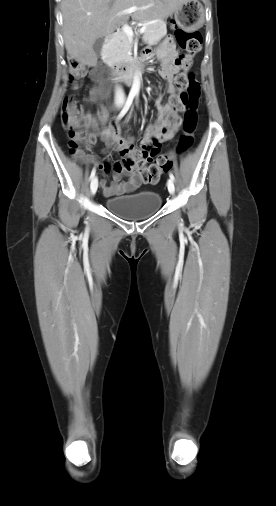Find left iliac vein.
Segmentation results:
<instances>
[{"instance_id":"left-iliac-vein-1","label":"left iliac vein","mask_w":276,"mask_h":506,"mask_svg":"<svg viewBox=\"0 0 276 506\" xmlns=\"http://www.w3.org/2000/svg\"><path fill=\"white\" fill-rule=\"evenodd\" d=\"M167 187H168L169 193L170 194H174V192H175V186H174V183H173V181L171 179L168 180Z\"/></svg>"}]
</instances>
